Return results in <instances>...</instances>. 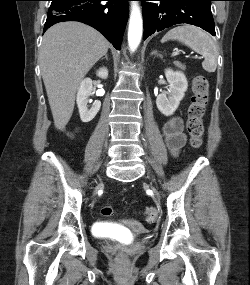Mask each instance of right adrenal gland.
Instances as JSON below:
<instances>
[{
    "label": "right adrenal gland",
    "instance_id": "obj_1",
    "mask_svg": "<svg viewBox=\"0 0 250 285\" xmlns=\"http://www.w3.org/2000/svg\"><path fill=\"white\" fill-rule=\"evenodd\" d=\"M102 59H106V60H108V56H107V54H106L104 57H102Z\"/></svg>",
    "mask_w": 250,
    "mask_h": 285
}]
</instances>
